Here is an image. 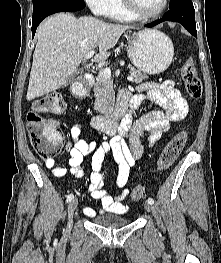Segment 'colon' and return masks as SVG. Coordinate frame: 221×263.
I'll list each match as a JSON object with an SVG mask.
<instances>
[{"label": "colon", "mask_w": 221, "mask_h": 263, "mask_svg": "<svg viewBox=\"0 0 221 263\" xmlns=\"http://www.w3.org/2000/svg\"><path fill=\"white\" fill-rule=\"evenodd\" d=\"M182 79L189 97L199 100L202 96V82L191 60L185 61L181 69ZM66 108V101L60 93H49L33 103L27 115V130L30 143L36 153L45 160L54 158L64 141V135L56 119L44 117L43 114H59ZM187 140L185 131L177 133L164 147L157 161V171L168 169L178 158ZM145 196V189L137 186L132 190L134 201Z\"/></svg>", "instance_id": "obj_1"}]
</instances>
